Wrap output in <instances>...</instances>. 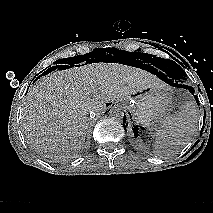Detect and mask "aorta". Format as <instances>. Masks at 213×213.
<instances>
[{"instance_id":"762f6f07","label":"aorta","mask_w":213,"mask_h":213,"mask_svg":"<svg viewBox=\"0 0 213 213\" xmlns=\"http://www.w3.org/2000/svg\"><path fill=\"white\" fill-rule=\"evenodd\" d=\"M124 108L121 105H114L109 112L112 119L121 121L124 118Z\"/></svg>"}]
</instances>
